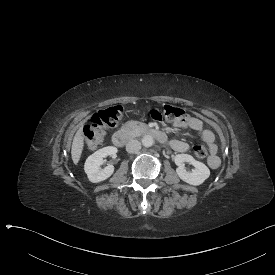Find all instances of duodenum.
<instances>
[{"instance_id": "1", "label": "duodenum", "mask_w": 275, "mask_h": 275, "mask_svg": "<svg viewBox=\"0 0 275 275\" xmlns=\"http://www.w3.org/2000/svg\"><path fill=\"white\" fill-rule=\"evenodd\" d=\"M144 133L147 135L153 136L159 142H166V140H167L166 134L158 129H155V128H147L144 130ZM131 139H132V136L124 130H119V131L115 132L112 137V141H113L114 145L117 147H123Z\"/></svg>"}]
</instances>
